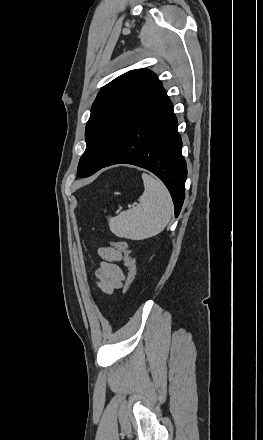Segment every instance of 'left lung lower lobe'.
Wrapping results in <instances>:
<instances>
[{"label":"left lung lower lobe","mask_w":263,"mask_h":440,"mask_svg":"<svg viewBox=\"0 0 263 440\" xmlns=\"http://www.w3.org/2000/svg\"><path fill=\"white\" fill-rule=\"evenodd\" d=\"M177 127L173 105L161 87L136 114L117 150L103 166L127 163L154 173L168 188L176 217L184 201L187 177Z\"/></svg>","instance_id":"1"}]
</instances>
